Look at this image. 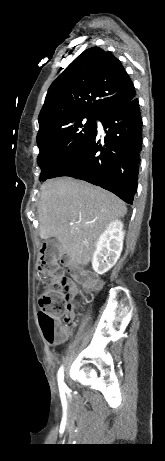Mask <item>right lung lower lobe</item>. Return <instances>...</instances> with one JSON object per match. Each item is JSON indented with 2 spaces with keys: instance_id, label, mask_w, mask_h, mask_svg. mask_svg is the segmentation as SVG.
Wrapping results in <instances>:
<instances>
[{
  "instance_id": "obj_1",
  "label": "right lung lower lobe",
  "mask_w": 165,
  "mask_h": 461,
  "mask_svg": "<svg viewBox=\"0 0 165 461\" xmlns=\"http://www.w3.org/2000/svg\"><path fill=\"white\" fill-rule=\"evenodd\" d=\"M106 136L97 128L87 142L50 178L69 176L109 190L132 204L142 150V119L138 98L99 118Z\"/></svg>"
}]
</instances>
